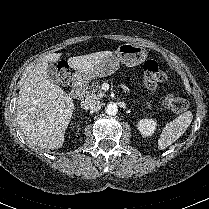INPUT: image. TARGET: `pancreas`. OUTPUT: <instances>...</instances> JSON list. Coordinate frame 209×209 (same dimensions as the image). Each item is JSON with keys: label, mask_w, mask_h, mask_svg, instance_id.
<instances>
[{"label": "pancreas", "mask_w": 209, "mask_h": 209, "mask_svg": "<svg viewBox=\"0 0 209 209\" xmlns=\"http://www.w3.org/2000/svg\"><path fill=\"white\" fill-rule=\"evenodd\" d=\"M103 96L104 93L101 90V86L99 85L98 82H96L91 85V91L86 92L85 98L87 100H95V99H100ZM148 108L151 109L150 104L148 105Z\"/></svg>", "instance_id": "1"}]
</instances>
